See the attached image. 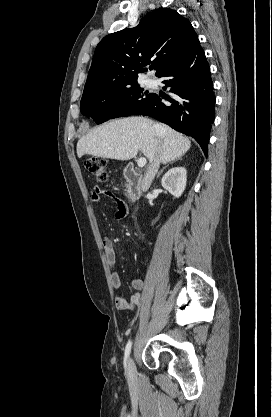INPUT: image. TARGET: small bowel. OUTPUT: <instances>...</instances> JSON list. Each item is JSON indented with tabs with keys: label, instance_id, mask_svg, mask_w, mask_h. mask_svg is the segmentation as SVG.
Returning <instances> with one entry per match:
<instances>
[{
	"label": "small bowel",
	"instance_id": "1",
	"mask_svg": "<svg viewBox=\"0 0 272 417\" xmlns=\"http://www.w3.org/2000/svg\"><path fill=\"white\" fill-rule=\"evenodd\" d=\"M102 196L110 197L116 201V217L118 219H123L126 217L128 212L126 204L118 197H116L112 192L102 189L99 186H95L93 192L91 193V201L93 203H98ZM103 248L109 267L114 269L116 265V252L113 242L109 238H105L103 241ZM111 282L115 290H119L121 288L120 276L115 271H112L111 273ZM131 286L136 292L130 297V299L127 300L121 294L116 295L115 304L118 309L127 310L140 304L142 298V290L144 288V281L140 278L133 279L131 281Z\"/></svg>",
	"mask_w": 272,
	"mask_h": 417
}]
</instances>
